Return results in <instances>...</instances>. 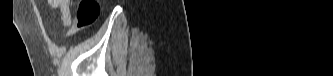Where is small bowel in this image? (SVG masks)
Wrapping results in <instances>:
<instances>
[{
  "label": "small bowel",
  "mask_w": 333,
  "mask_h": 76,
  "mask_svg": "<svg viewBox=\"0 0 333 76\" xmlns=\"http://www.w3.org/2000/svg\"><path fill=\"white\" fill-rule=\"evenodd\" d=\"M47 4L50 8L56 9L60 15V22L64 26H69L72 21L69 0H48Z\"/></svg>",
  "instance_id": "obj_1"
}]
</instances>
